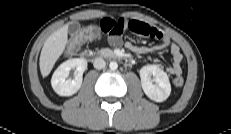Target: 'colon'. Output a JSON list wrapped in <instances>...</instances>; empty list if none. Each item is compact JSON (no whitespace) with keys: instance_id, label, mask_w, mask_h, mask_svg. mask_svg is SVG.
Masks as SVG:
<instances>
[{"instance_id":"colon-1","label":"colon","mask_w":231,"mask_h":134,"mask_svg":"<svg viewBox=\"0 0 231 134\" xmlns=\"http://www.w3.org/2000/svg\"><path fill=\"white\" fill-rule=\"evenodd\" d=\"M100 28L97 26H89L81 29L70 41L67 46V53L74 54L87 39H92L100 34ZM176 87H181L184 83V79L181 76L176 77L173 80Z\"/></svg>"}]
</instances>
